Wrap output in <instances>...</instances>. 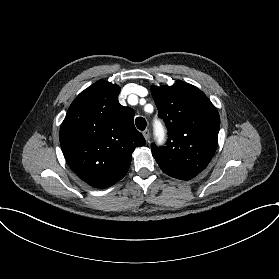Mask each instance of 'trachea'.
Masks as SVG:
<instances>
[{
	"label": "trachea",
	"instance_id": "trachea-1",
	"mask_svg": "<svg viewBox=\"0 0 279 279\" xmlns=\"http://www.w3.org/2000/svg\"><path fill=\"white\" fill-rule=\"evenodd\" d=\"M135 123H136V126L139 130L143 131L146 128V120L142 117L136 118Z\"/></svg>",
	"mask_w": 279,
	"mask_h": 279
}]
</instances>
